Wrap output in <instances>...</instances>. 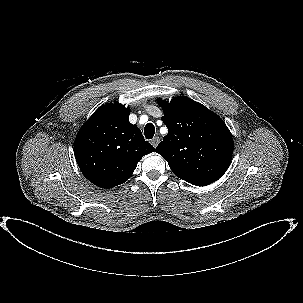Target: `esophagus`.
<instances>
[{"mask_svg": "<svg viewBox=\"0 0 303 303\" xmlns=\"http://www.w3.org/2000/svg\"><path fill=\"white\" fill-rule=\"evenodd\" d=\"M160 142V139L159 137H154L152 140H151V144L153 145V147H157V145L159 144Z\"/></svg>", "mask_w": 303, "mask_h": 303, "instance_id": "1", "label": "esophagus"}]
</instances>
